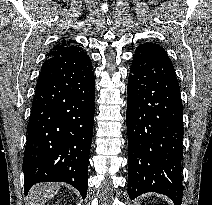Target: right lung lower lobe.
Wrapping results in <instances>:
<instances>
[{
    "mask_svg": "<svg viewBox=\"0 0 212 205\" xmlns=\"http://www.w3.org/2000/svg\"><path fill=\"white\" fill-rule=\"evenodd\" d=\"M95 111L90 57L47 58L37 81L23 158L25 194L38 182H66L87 194Z\"/></svg>",
    "mask_w": 212,
    "mask_h": 205,
    "instance_id": "obj_1",
    "label": "right lung lower lobe"
}]
</instances>
